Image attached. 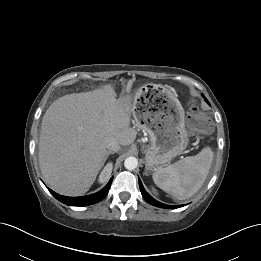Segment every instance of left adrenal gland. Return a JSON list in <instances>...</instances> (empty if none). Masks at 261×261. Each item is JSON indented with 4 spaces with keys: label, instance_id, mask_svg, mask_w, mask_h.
I'll return each mask as SVG.
<instances>
[{
    "label": "left adrenal gland",
    "instance_id": "left-adrenal-gland-1",
    "mask_svg": "<svg viewBox=\"0 0 261 261\" xmlns=\"http://www.w3.org/2000/svg\"><path fill=\"white\" fill-rule=\"evenodd\" d=\"M145 175H148V168L146 167Z\"/></svg>",
    "mask_w": 261,
    "mask_h": 261
}]
</instances>
